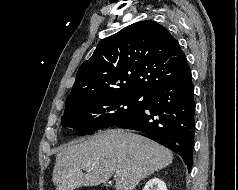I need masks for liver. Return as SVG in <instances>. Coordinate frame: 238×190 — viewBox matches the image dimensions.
Instances as JSON below:
<instances>
[{"label": "liver", "mask_w": 238, "mask_h": 190, "mask_svg": "<svg viewBox=\"0 0 238 190\" xmlns=\"http://www.w3.org/2000/svg\"><path fill=\"white\" fill-rule=\"evenodd\" d=\"M172 161V152L155 141L113 129L61 148L52 180L56 190H73L106 183L115 172L116 190H133L142 179Z\"/></svg>", "instance_id": "liver-1"}]
</instances>
